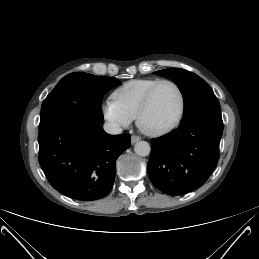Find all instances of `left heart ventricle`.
<instances>
[{
	"mask_svg": "<svg viewBox=\"0 0 259 259\" xmlns=\"http://www.w3.org/2000/svg\"><path fill=\"white\" fill-rule=\"evenodd\" d=\"M179 108L180 98L177 90L171 84H161L153 95L143 124L149 129L165 127L176 118Z\"/></svg>",
	"mask_w": 259,
	"mask_h": 259,
	"instance_id": "obj_1",
	"label": "left heart ventricle"
}]
</instances>
